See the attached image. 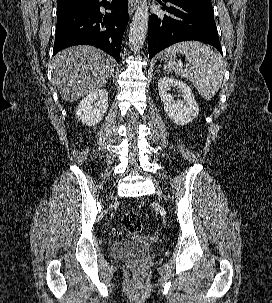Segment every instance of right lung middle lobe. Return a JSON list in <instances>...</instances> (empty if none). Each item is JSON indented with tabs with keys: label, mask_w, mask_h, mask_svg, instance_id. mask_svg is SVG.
Returning <instances> with one entry per match:
<instances>
[{
	"label": "right lung middle lobe",
	"mask_w": 272,
	"mask_h": 303,
	"mask_svg": "<svg viewBox=\"0 0 272 303\" xmlns=\"http://www.w3.org/2000/svg\"><path fill=\"white\" fill-rule=\"evenodd\" d=\"M91 2H92V1H91ZM88 3H90V2H83V3H76V4H68V5H58L57 14H58V13L65 12V11H68V10L73 9V8H76V7L83 6V5L88 4Z\"/></svg>",
	"instance_id": "obj_1"
}]
</instances>
